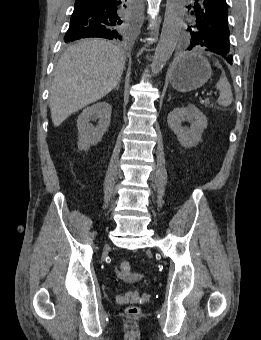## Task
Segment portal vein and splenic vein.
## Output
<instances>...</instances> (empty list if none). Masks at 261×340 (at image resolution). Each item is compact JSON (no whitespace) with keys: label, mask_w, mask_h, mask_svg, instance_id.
Here are the masks:
<instances>
[{"label":"portal vein and splenic vein","mask_w":261,"mask_h":340,"mask_svg":"<svg viewBox=\"0 0 261 340\" xmlns=\"http://www.w3.org/2000/svg\"><path fill=\"white\" fill-rule=\"evenodd\" d=\"M208 97H211L212 95H213V93L212 92H209V93H207L206 94Z\"/></svg>","instance_id":"obj_1"}]
</instances>
